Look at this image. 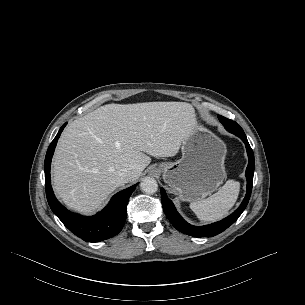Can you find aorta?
Returning a JSON list of instances; mask_svg holds the SVG:
<instances>
[{
  "instance_id": "1",
  "label": "aorta",
  "mask_w": 305,
  "mask_h": 305,
  "mask_svg": "<svg viewBox=\"0 0 305 305\" xmlns=\"http://www.w3.org/2000/svg\"><path fill=\"white\" fill-rule=\"evenodd\" d=\"M140 188L147 194H153L158 190V184L154 178L145 177L140 183Z\"/></svg>"
}]
</instances>
